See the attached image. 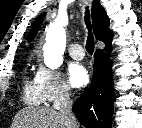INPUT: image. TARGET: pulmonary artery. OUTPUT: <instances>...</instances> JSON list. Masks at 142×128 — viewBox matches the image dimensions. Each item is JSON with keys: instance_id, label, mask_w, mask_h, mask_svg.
<instances>
[{"instance_id": "pulmonary-artery-1", "label": "pulmonary artery", "mask_w": 142, "mask_h": 128, "mask_svg": "<svg viewBox=\"0 0 142 128\" xmlns=\"http://www.w3.org/2000/svg\"><path fill=\"white\" fill-rule=\"evenodd\" d=\"M70 56L75 60H81L84 57V49L79 44H72L68 48Z\"/></svg>"}]
</instances>
